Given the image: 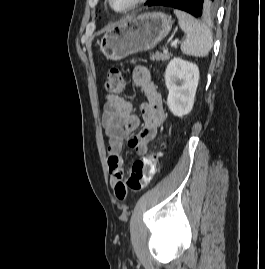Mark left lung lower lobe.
<instances>
[{
	"instance_id": "left-lung-lower-lobe-1",
	"label": "left lung lower lobe",
	"mask_w": 265,
	"mask_h": 269,
	"mask_svg": "<svg viewBox=\"0 0 265 269\" xmlns=\"http://www.w3.org/2000/svg\"><path fill=\"white\" fill-rule=\"evenodd\" d=\"M217 0H151L148 6H167L190 13L196 18L211 19L216 13Z\"/></svg>"
}]
</instances>
